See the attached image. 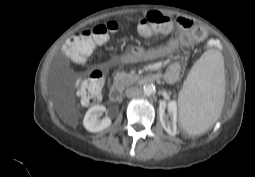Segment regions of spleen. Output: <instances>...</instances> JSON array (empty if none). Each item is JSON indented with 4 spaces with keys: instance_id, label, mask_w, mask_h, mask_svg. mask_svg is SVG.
Segmentation results:
<instances>
[{
    "instance_id": "3e777b00",
    "label": "spleen",
    "mask_w": 255,
    "mask_h": 177,
    "mask_svg": "<svg viewBox=\"0 0 255 177\" xmlns=\"http://www.w3.org/2000/svg\"><path fill=\"white\" fill-rule=\"evenodd\" d=\"M225 93L224 60L219 51L208 50L193 65L179 93V118L191 135L204 133L219 118Z\"/></svg>"
}]
</instances>
